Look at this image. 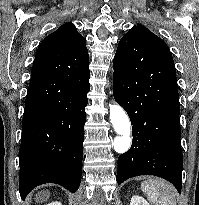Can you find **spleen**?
<instances>
[{"label": "spleen", "mask_w": 199, "mask_h": 205, "mask_svg": "<svg viewBox=\"0 0 199 205\" xmlns=\"http://www.w3.org/2000/svg\"><path fill=\"white\" fill-rule=\"evenodd\" d=\"M141 190L152 205H176L175 190L164 180L149 178L141 183Z\"/></svg>", "instance_id": "spleen-1"}]
</instances>
